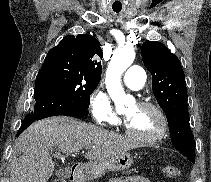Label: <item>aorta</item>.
<instances>
[{
  "label": "aorta",
  "mask_w": 211,
  "mask_h": 182,
  "mask_svg": "<svg viewBox=\"0 0 211 182\" xmlns=\"http://www.w3.org/2000/svg\"><path fill=\"white\" fill-rule=\"evenodd\" d=\"M134 59V50L132 48H123L114 52L108 65L105 84L116 108L121 107L127 99L126 93L121 85V76L133 63Z\"/></svg>",
  "instance_id": "1"
}]
</instances>
